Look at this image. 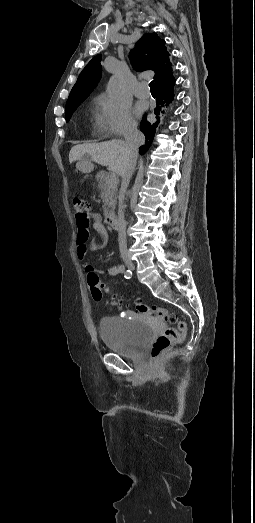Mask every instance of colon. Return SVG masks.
I'll return each mask as SVG.
<instances>
[{
  "mask_svg": "<svg viewBox=\"0 0 255 523\" xmlns=\"http://www.w3.org/2000/svg\"><path fill=\"white\" fill-rule=\"evenodd\" d=\"M73 206L76 213L77 224L80 226L87 225L88 214L90 211L89 203L85 199L76 197L73 199ZM87 281L94 300H103L104 293L98 275L96 273H89ZM106 300L107 303L112 307H120L124 304L122 298L116 295L109 296ZM137 309L140 312L152 314L157 319L169 325L162 329L152 344V357L156 358L160 356L171 345L182 343L185 340L187 326L186 323L176 313L162 307H149L144 304H138Z\"/></svg>",
  "mask_w": 255,
  "mask_h": 523,
  "instance_id": "colon-1",
  "label": "colon"
}]
</instances>
